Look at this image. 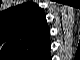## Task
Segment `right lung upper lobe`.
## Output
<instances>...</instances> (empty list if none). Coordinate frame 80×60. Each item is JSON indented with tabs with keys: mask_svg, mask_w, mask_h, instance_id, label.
Instances as JSON below:
<instances>
[{
	"mask_svg": "<svg viewBox=\"0 0 80 60\" xmlns=\"http://www.w3.org/2000/svg\"><path fill=\"white\" fill-rule=\"evenodd\" d=\"M2 14L0 38L3 47L20 56H29L44 51L49 45L46 16L37 4L27 2Z\"/></svg>",
	"mask_w": 80,
	"mask_h": 60,
	"instance_id": "cb5924a9",
	"label": "right lung upper lobe"
}]
</instances>
